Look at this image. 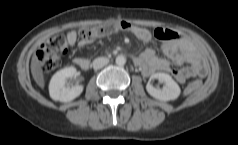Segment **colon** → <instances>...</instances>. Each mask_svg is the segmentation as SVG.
Listing matches in <instances>:
<instances>
[{
  "label": "colon",
  "instance_id": "colon-1",
  "mask_svg": "<svg viewBox=\"0 0 238 145\" xmlns=\"http://www.w3.org/2000/svg\"><path fill=\"white\" fill-rule=\"evenodd\" d=\"M131 27L132 25L127 22H114L85 27L79 32V37L81 42L85 44L116 31H130ZM67 49L68 43L63 35H55L48 42L41 45L36 54L40 70L45 74L55 70L59 66L61 57L67 52ZM200 87L201 82L196 80L189 83L185 91L187 94H190Z\"/></svg>",
  "mask_w": 238,
  "mask_h": 145
}]
</instances>
